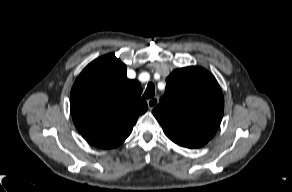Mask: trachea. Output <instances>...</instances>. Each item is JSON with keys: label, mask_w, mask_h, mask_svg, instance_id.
Masks as SVG:
<instances>
[{"label": "trachea", "mask_w": 292, "mask_h": 192, "mask_svg": "<svg viewBox=\"0 0 292 192\" xmlns=\"http://www.w3.org/2000/svg\"><path fill=\"white\" fill-rule=\"evenodd\" d=\"M154 91H155V88H154L153 83H149L147 85V88H146L144 94H143V97L147 98V99L153 98L154 97Z\"/></svg>", "instance_id": "obj_1"}]
</instances>
